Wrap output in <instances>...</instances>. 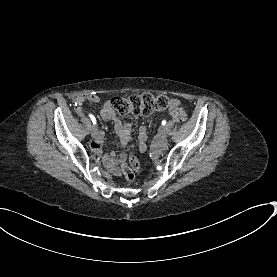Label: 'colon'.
Returning a JSON list of instances; mask_svg holds the SVG:
<instances>
[{
  "label": "colon",
  "instance_id": "1",
  "mask_svg": "<svg viewBox=\"0 0 277 277\" xmlns=\"http://www.w3.org/2000/svg\"><path fill=\"white\" fill-rule=\"evenodd\" d=\"M115 110L121 116L133 115H150L156 112L164 111L168 108L169 100L161 94L144 93L141 95H131L129 97L115 96L110 99ZM174 120L183 122L186 119V113L183 109L177 108L173 112ZM125 160L123 159V162ZM130 166L123 163L121 168L127 181L132 182L134 179V170L138 169V163L134 156L129 157Z\"/></svg>",
  "mask_w": 277,
  "mask_h": 277
}]
</instances>
